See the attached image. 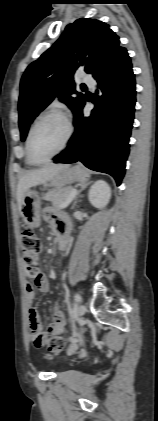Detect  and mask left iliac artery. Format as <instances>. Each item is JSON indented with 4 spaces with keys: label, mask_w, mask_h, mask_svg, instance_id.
I'll use <instances>...</instances> for the list:
<instances>
[{
    "label": "left iliac artery",
    "mask_w": 158,
    "mask_h": 421,
    "mask_svg": "<svg viewBox=\"0 0 158 421\" xmlns=\"http://www.w3.org/2000/svg\"><path fill=\"white\" fill-rule=\"evenodd\" d=\"M74 300H75V302H81V296L78 294V293H76L75 295H74Z\"/></svg>",
    "instance_id": "left-iliac-artery-1"
}]
</instances>
